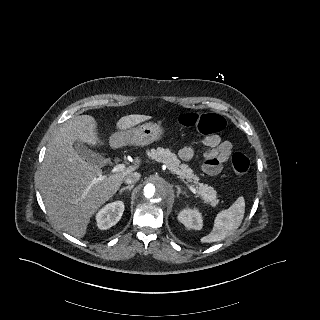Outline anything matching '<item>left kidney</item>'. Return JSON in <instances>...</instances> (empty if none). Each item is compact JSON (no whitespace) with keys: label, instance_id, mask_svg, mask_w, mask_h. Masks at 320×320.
<instances>
[{"label":"left kidney","instance_id":"obj_1","mask_svg":"<svg viewBox=\"0 0 320 320\" xmlns=\"http://www.w3.org/2000/svg\"><path fill=\"white\" fill-rule=\"evenodd\" d=\"M178 220L190 229L200 230L202 227L201 215L197 210H183L180 212Z\"/></svg>","mask_w":320,"mask_h":320}]
</instances>
